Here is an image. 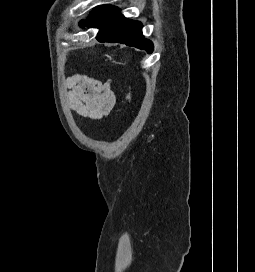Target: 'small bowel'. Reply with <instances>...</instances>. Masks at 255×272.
Returning a JSON list of instances; mask_svg holds the SVG:
<instances>
[{"label":"small bowel","mask_w":255,"mask_h":272,"mask_svg":"<svg viewBox=\"0 0 255 272\" xmlns=\"http://www.w3.org/2000/svg\"><path fill=\"white\" fill-rule=\"evenodd\" d=\"M112 81H102L85 74H74L66 81L69 107L75 113L91 119L109 114L116 104Z\"/></svg>","instance_id":"1"}]
</instances>
